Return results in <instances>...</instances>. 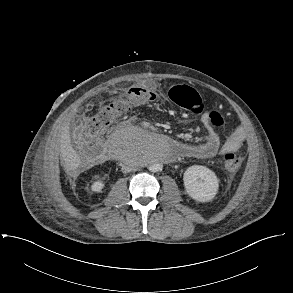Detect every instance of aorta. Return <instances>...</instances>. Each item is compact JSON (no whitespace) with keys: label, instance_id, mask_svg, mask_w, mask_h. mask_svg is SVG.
I'll return each mask as SVG.
<instances>
[{"label":"aorta","instance_id":"aorta-1","mask_svg":"<svg viewBox=\"0 0 293 293\" xmlns=\"http://www.w3.org/2000/svg\"><path fill=\"white\" fill-rule=\"evenodd\" d=\"M170 142L163 137H153L151 139V153L154 156H163L166 153L167 148H169ZM162 164L159 162H154L149 165L148 169L151 172H159L162 170Z\"/></svg>","mask_w":293,"mask_h":293}]
</instances>
